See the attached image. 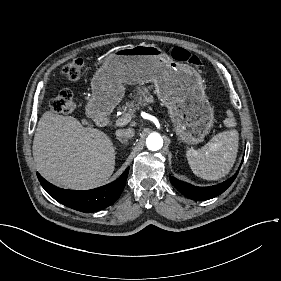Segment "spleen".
Returning a JSON list of instances; mask_svg holds the SVG:
<instances>
[{
  "label": "spleen",
  "mask_w": 281,
  "mask_h": 281,
  "mask_svg": "<svg viewBox=\"0 0 281 281\" xmlns=\"http://www.w3.org/2000/svg\"><path fill=\"white\" fill-rule=\"evenodd\" d=\"M228 118L223 123L226 127L237 125L231 110L226 111ZM239 133L229 130L215 135L201 149L186 152L188 164L193 173L205 180H218L225 177L233 167L238 152Z\"/></svg>",
  "instance_id": "1"
}]
</instances>
